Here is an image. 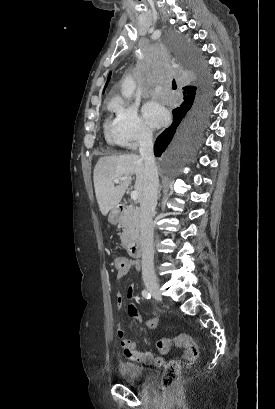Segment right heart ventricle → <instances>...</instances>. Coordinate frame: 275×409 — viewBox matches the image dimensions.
<instances>
[{
	"mask_svg": "<svg viewBox=\"0 0 275 409\" xmlns=\"http://www.w3.org/2000/svg\"><path fill=\"white\" fill-rule=\"evenodd\" d=\"M105 136L108 143L112 146H121L122 141L115 122L107 121L104 125ZM116 151V150H114Z\"/></svg>",
	"mask_w": 275,
	"mask_h": 409,
	"instance_id": "obj_1",
	"label": "right heart ventricle"
}]
</instances>
